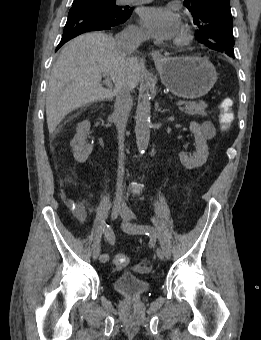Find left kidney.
Returning a JSON list of instances; mask_svg holds the SVG:
<instances>
[{"label": "left kidney", "instance_id": "left-kidney-1", "mask_svg": "<svg viewBox=\"0 0 261 340\" xmlns=\"http://www.w3.org/2000/svg\"><path fill=\"white\" fill-rule=\"evenodd\" d=\"M190 130L195 136L196 152L188 156L182 152L179 154L180 162L186 169H194L201 167L208 159V146L205 138L202 135L201 127L198 123L192 121L190 123Z\"/></svg>", "mask_w": 261, "mask_h": 340}]
</instances>
